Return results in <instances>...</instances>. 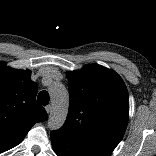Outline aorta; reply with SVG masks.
Listing matches in <instances>:
<instances>
[{
    "label": "aorta",
    "instance_id": "1",
    "mask_svg": "<svg viewBox=\"0 0 156 156\" xmlns=\"http://www.w3.org/2000/svg\"><path fill=\"white\" fill-rule=\"evenodd\" d=\"M52 110L48 118V127L51 130L60 129L67 117L69 107V94L61 84L52 85L50 88Z\"/></svg>",
    "mask_w": 156,
    "mask_h": 156
}]
</instances>
